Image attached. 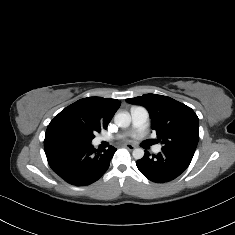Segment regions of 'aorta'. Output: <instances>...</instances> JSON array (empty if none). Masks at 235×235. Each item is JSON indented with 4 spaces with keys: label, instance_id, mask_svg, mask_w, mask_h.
<instances>
[{
    "label": "aorta",
    "instance_id": "aorta-1",
    "mask_svg": "<svg viewBox=\"0 0 235 235\" xmlns=\"http://www.w3.org/2000/svg\"><path fill=\"white\" fill-rule=\"evenodd\" d=\"M114 122L118 127H129L131 123V116L128 112L118 113L114 117ZM132 155L134 159H141L144 156V150L142 148H136L133 150Z\"/></svg>",
    "mask_w": 235,
    "mask_h": 235
}]
</instances>
